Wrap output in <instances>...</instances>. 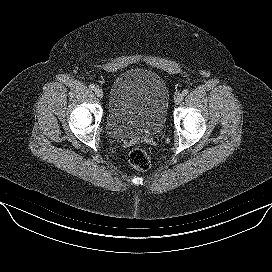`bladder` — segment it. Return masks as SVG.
Instances as JSON below:
<instances>
[{
  "mask_svg": "<svg viewBox=\"0 0 272 272\" xmlns=\"http://www.w3.org/2000/svg\"><path fill=\"white\" fill-rule=\"evenodd\" d=\"M169 107L165 80L146 68H131L112 82L106 129L117 140L150 137L163 129Z\"/></svg>",
  "mask_w": 272,
  "mask_h": 272,
  "instance_id": "obj_1",
  "label": "bladder"
}]
</instances>
